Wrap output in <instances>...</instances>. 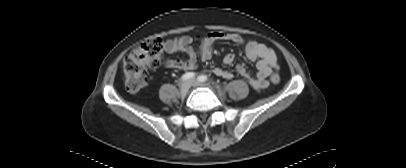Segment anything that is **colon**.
<instances>
[{"label":"colon","instance_id":"colon-1","mask_svg":"<svg viewBox=\"0 0 406 168\" xmlns=\"http://www.w3.org/2000/svg\"><path fill=\"white\" fill-rule=\"evenodd\" d=\"M164 50L162 39L153 37L142 42L123 60V82L129 93L141 91L147 84V72L149 68H156L161 64ZM273 84L280 82L278 73L273 72L270 76Z\"/></svg>","mask_w":406,"mask_h":168}]
</instances>
